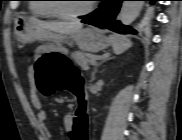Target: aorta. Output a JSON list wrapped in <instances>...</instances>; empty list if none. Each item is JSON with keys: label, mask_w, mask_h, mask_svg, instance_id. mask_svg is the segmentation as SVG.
Listing matches in <instances>:
<instances>
[{"label": "aorta", "mask_w": 182, "mask_h": 140, "mask_svg": "<svg viewBox=\"0 0 182 140\" xmlns=\"http://www.w3.org/2000/svg\"><path fill=\"white\" fill-rule=\"evenodd\" d=\"M143 5L144 1H124L119 16L121 23L130 25L138 17Z\"/></svg>", "instance_id": "obj_1"}]
</instances>
